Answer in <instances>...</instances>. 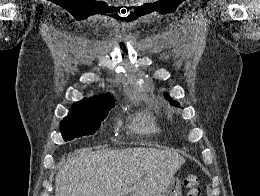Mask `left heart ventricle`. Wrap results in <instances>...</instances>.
I'll list each match as a JSON object with an SVG mask.
<instances>
[{"instance_id":"left-heart-ventricle-1","label":"left heart ventricle","mask_w":260,"mask_h":196,"mask_svg":"<svg viewBox=\"0 0 260 196\" xmlns=\"http://www.w3.org/2000/svg\"><path fill=\"white\" fill-rule=\"evenodd\" d=\"M116 190H88L87 192H115Z\"/></svg>"}]
</instances>
